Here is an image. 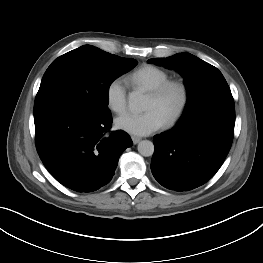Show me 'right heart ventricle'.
Segmentation results:
<instances>
[{"label": "right heart ventricle", "mask_w": 263, "mask_h": 263, "mask_svg": "<svg viewBox=\"0 0 263 263\" xmlns=\"http://www.w3.org/2000/svg\"><path fill=\"white\" fill-rule=\"evenodd\" d=\"M126 79L133 86L150 91L168 81L169 74L159 67L144 65L128 74Z\"/></svg>", "instance_id": "1"}]
</instances>
